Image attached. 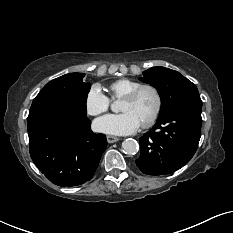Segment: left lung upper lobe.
Returning <instances> with one entry per match:
<instances>
[{
  "mask_svg": "<svg viewBox=\"0 0 233 233\" xmlns=\"http://www.w3.org/2000/svg\"><path fill=\"white\" fill-rule=\"evenodd\" d=\"M141 81L157 88L161 97L160 115L184 106H202L195 84L177 71L165 67H152L143 72Z\"/></svg>",
  "mask_w": 233,
  "mask_h": 233,
  "instance_id": "obj_1",
  "label": "left lung upper lobe"
}]
</instances>
